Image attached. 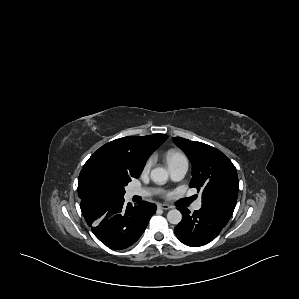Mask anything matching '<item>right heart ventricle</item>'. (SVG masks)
<instances>
[{
    "instance_id": "1",
    "label": "right heart ventricle",
    "mask_w": 299,
    "mask_h": 299,
    "mask_svg": "<svg viewBox=\"0 0 299 299\" xmlns=\"http://www.w3.org/2000/svg\"><path fill=\"white\" fill-rule=\"evenodd\" d=\"M165 158L169 166L180 162H187V158L184 153L177 149L168 150Z\"/></svg>"
}]
</instances>
